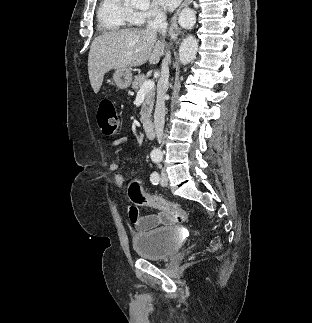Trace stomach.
Wrapping results in <instances>:
<instances>
[{
  "label": "stomach",
  "mask_w": 312,
  "mask_h": 323,
  "mask_svg": "<svg viewBox=\"0 0 312 323\" xmlns=\"http://www.w3.org/2000/svg\"><path fill=\"white\" fill-rule=\"evenodd\" d=\"M113 80L119 90L129 88L132 82V74L129 68H118L113 74Z\"/></svg>",
  "instance_id": "stomach-1"
}]
</instances>
